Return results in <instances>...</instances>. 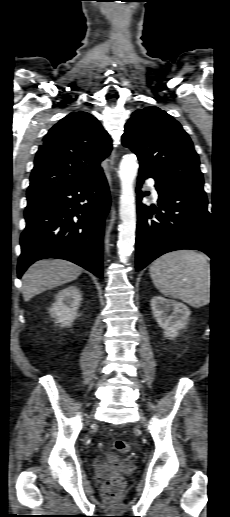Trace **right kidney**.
Wrapping results in <instances>:
<instances>
[{
  "label": "right kidney",
  "instance_id": "ca27d5eb",
  "mask_svg": "<svg viewBox=\"0 0 230 517\" xmlns=\"http://www.w3.org/2000/svg\"><path fill=\"white\" fill-rule=\"evenodd\" d=\"M81 293L76 286L62 289L56 295V301L49 309L50 315L56 319L62 327L71 326L77 318V310L81 303Z\"/></svg>",
  "mask_w": 230,
  "mask_h": 517
}]
</instances>
